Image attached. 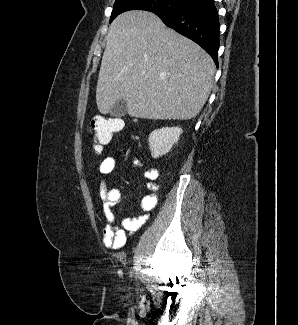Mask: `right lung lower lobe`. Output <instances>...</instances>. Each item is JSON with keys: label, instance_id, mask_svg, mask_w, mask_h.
Masks as SVG:
<instances>
[{"label": "right lung lower lobe", "instance_id": "obj_1", "mask_svg": "<svg viewBox=\"0 0 298 325\" xmlns=\"http://www.w3.org/2000/svg\"><path fill=\"white\" fill-rule=\"evenodd\" d=\"M155 14L166 26L199 44L218 66L219 20L214 0H192L182 8Z\"/></svg>", "mask_w": 298, "mask_h": 325}]
</instances>
